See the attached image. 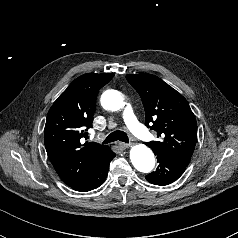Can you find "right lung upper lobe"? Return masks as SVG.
<instances>
[{
  "mask_svg": "<svg viewBox=\"0 0 238 238\" xmlns=\"http://www.w3.org/2000/svg\"><path fill=\"white\" fill-rule=\"evenodd\" d=\"M114 74H84L76 78L51 106L44 129L47 155L67 185L80 180L110 153L108 146L81 143L92 127L98 91Z\"/></svg>",
  "mask_w": 238,
  "mask_h": 238,
  "instance_id": "obj_1",
  "label": "right lung upper lobe"
}]
</instances>
